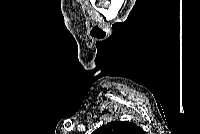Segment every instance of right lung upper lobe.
I'll return each mask as SVG.
<instances>
[{
    "instance_id": "1",
    "label": "right lung upper lobe",
    "mask_w": 200,
    "mask_h": 134,
    "mask_svg": "<svg viewBox=\"0 0 200 134\" xmlns=\"http://www.w3.org/2000/svg\"><path fill=\"white\" fill-rule=\"evenodd\" d=\"M94 134H144V131L131 122L113 121L95 130Z\"/></svg>"
}]
</instances>
